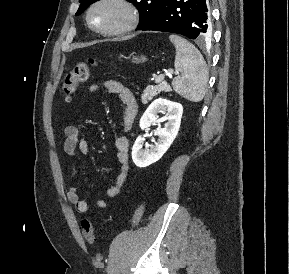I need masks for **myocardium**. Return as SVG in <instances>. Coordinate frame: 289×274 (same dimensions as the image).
<instances>
[{
  "mask_svg": "<svg viewBox=\"0 0 289 274\" xmlns=\"http://www.w3.org/2000/svg\"><path fill=\"white\" fill-rule=\"evenodd\" d=\"M105 4H113L119 6L120 8L123 9L125 13L124 21L120 25L112 29H100L95 25H93L91 21V14L93 10ZM85 19L88 27L94 33L105 37H114V36H121L133 31L139 23L140 14L136 4L131 0H95L88 7Z\"/></svg>",
  "mask_w": 289,
  "mask_h": 274,
  "instance_id": "1",
  "label": "myocardium"
}]
</instances>
